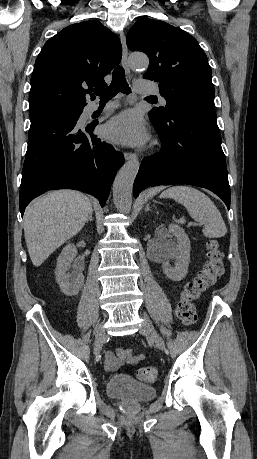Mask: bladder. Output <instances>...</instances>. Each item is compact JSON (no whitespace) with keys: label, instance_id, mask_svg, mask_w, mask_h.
Returning <instances> with one entry per match:
<instances>
[{"label":"bladder","instance_id":"bladder-1","mask_svg":"<svg viewBox=\"0 0 257 459\" xmlns=\"http://www.w3.org/2000/svg\"><path fill=\"white\" fill-rule=\"evenodd\" d=\"M108 396L130 403H141L154 398L156 388L141 383L125 374H116L106 383Z\"/></svg>","mask_w":257,"mask_h":459}]
</instances>
